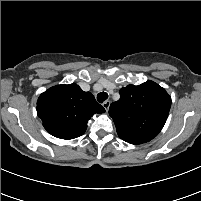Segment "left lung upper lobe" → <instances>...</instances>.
I'll use <instances>...</instances> for the list:
<instances>
[{"mask_svg": "<svg viewBox=\"0 0 201 201\" xmlns=\"http://www.w3.org/2000/svg\"><path fill=\"white\" fill-rule=\"evenodd\" d=\"M120 99L113 102L109 115L121 139L131 144L146 143L162 130L170 110L171 97L153 81L120 90Z\"/></svg>", "mask_w": 201, "mask_h": 201, "instance_id": "left-lung-upper-lobe-1", "label": "left lung upper lobe"}]
</instances>
